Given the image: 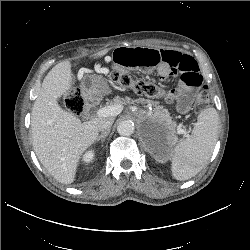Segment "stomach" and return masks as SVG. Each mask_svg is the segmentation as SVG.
<instances>
[{
	"label": "stomach",
	"mask_w": 250,
	"mask_h": 250,
	"mask_svg": "<svg viewBox=\"0 0 250 250\" xmlns=\"http://www.w3.org/2000/svg\"><path fill=\"white\" fill-rule=\"evenodd\" d=\"M111 93V89L104 78L90 77L81 85V96L85 100H95Z\"/></svg>",
	"instance_id": "0dacf381"
}]
</instances>
